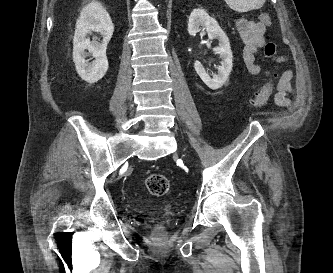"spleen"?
Segmentation results:
<instances>
[{
    "label": "spleen",
    "instance_id": "spleen-1",
    "mask_svg": "<svg viewBox=\"0 0 333 273\" xmlns=\"http://www.w3.org/2000/svg\"><path fill=\"white\" fill-rule=\"evenodd\" d=\"M266 0H225L227 5L234 11L243 13L259 9Z\"/></svg>",
    "mask_w": 333,
    "mask_h": 273
}]
</instances>
